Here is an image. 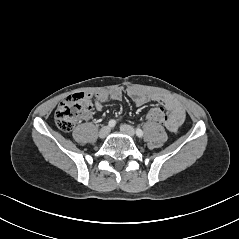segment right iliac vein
I'll return each mask as SVG.
<instances>
[{
  "label": "right iliac vein",
  "instance_id": "63e3f726",
  "mask_svg": "<svg viewBox=\"0 0 239 239\" xmlns=\"http://www.w3.org/2000/svg\"><path fill=\"white\" fill-rule=\"evenodd\" d=\"M109 133H110V128L108 126H105L101 128V130L99 131V137L101 139H104L108 136Z\"/></svg>",
  "mask_w": 239,
  "mask_h": 239
}]
</instances>
